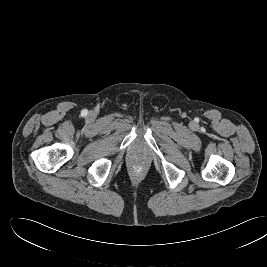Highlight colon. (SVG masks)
I'll use <instances>...</instances> for the list:
<instances>
[{"label": "colon", "instance_id": "obj_1", "mask_svg": "<svg viewBox=\"0 0 267 267\" xmlns=\"http://www.w3.org/2000/svg\"><path fill=\"white\" fill-rule=\"evenodd\" d=\"M134 169L135 171L140 172L142 168L140 166H135Z\"/></svg>", "mask_w": 267, "mask_h": 267}]
</instances>
